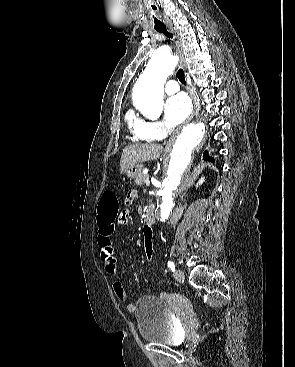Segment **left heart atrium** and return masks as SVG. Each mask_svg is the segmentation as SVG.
I'll list each match as a JSON object with an SVG mask.
<instances>
[{
    "label": "left heart atrium",
    "instance_id": "39dd6f15",
    "mask_svg": "<svg viewBox=\"0 0 295 367\" xmlns=\"http://www.w3.org/2000/svg\"><path fill=\"white\" fill-rule=\"evenodd\" d=\"M191 109L189 98L179 93L170 97L165 103V119L170 126H175L181 123L188 116Z\"/></svg>",
    "mask_w": 295,
    "mask_h": 367
}]
</instances>
